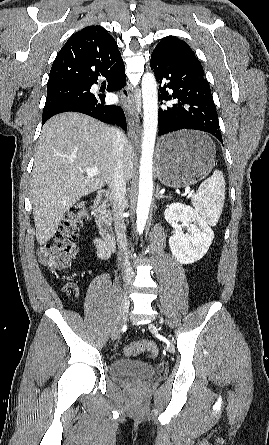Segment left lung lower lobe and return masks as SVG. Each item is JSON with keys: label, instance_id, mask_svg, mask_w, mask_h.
I'll list each match as a JSON object with an SVG mask.
<instances>
[{"label": "left lung lower lobe", "instance_id": "0a47b994", "mask_svg": "<svg viewBox=\"0 0 269 445\" xmlns=\"http://www.w3.org/2000/svg\"><path fill=\"white\" fill-rule=\"evenodd\" d=\"M150 66L160 83L159 100H176L174 104L159 108L158 135L193 129L208 132L223 143L216 106L200 61L152 53Z\"/></svg>", "mask_w": 269, "mask_h": 445}]
</instances>
